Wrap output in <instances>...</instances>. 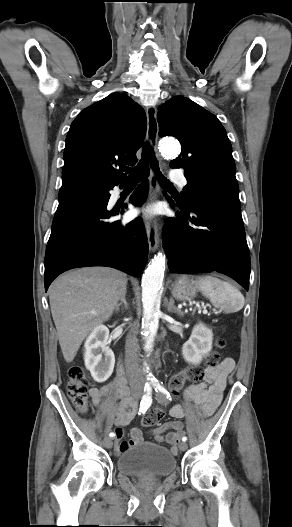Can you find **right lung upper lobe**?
I'll use <instances>...</instances> for the list:
<instances>
[{
    "label": "right lung upper lobe",
    "instance_id": "obj_1",
    "mask_svg": "<svg viewBox=\"0 0 292 527\" xmlns=\"http://www.w3.org/2000/svg\"><path fill=\"white\" fill-rule=\"evenodd\" d=\"M146 132L143 108L130 97L114 93L84 109L66 137L62 182L87 179L112 185L135 165Z\"/></svg>",
    "mask_w": 292,
    "mask_h": 527
}]
</instances>
